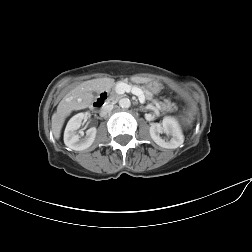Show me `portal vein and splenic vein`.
I'll return each mask as SVG.
<instances>
[{"label": "portal vein and splenic vein", "mask_w": 252, "mask_h": 252, "mask_svg": "<svg viewBox=\"0 0 252 252\" xmlns=\"http://www.w3.org/2000/svg\"><path fill=\"white\" fill-rule=\"evenodd\" d=\"M117 89L119 92H131L132 94L138 96L139 101L141 103H143L145 101V96H144L142 90L137 87H131L127 84L119 83V85H117Z\"/></svg>", "instance_id": "portal-vein-and-splenic-vein-1"}]
</instances>
